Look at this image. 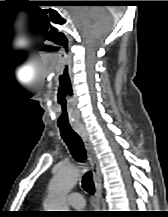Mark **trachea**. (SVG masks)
I'll return each instance as SVG.
<instances>
[{"label": "trachea", "instance_id": "obj_1", "mask_svg": "<svg viewBox=\"0 0 168 217\" xmlns=\"http://www.w3.org/2000/svg\"><path fill=\"white\" fill-rule=\"evenodd\" d=\"M62 139L68 146L72 156L81 162L86 159V152L84 149L83 142L79 135L71 127H59ZM82 187L89 194L93 195L95 187L93 183L92 173L89 171L85 173L82 179Z\"/></svg>", "mask_w": 168, "mask_h": 217}]
</instances>
